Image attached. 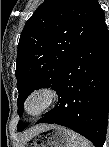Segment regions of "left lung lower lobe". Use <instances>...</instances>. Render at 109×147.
Here are the masks:
<instances>
[{
  "instance_id": "0a47b994",
  "label": "left lung lower lobe",
  "mask_w": 109,
  "mask_h": 147,
  "mask_svg": "<svg viewBox=\"0 0 109 147\" xmlns=\"http://www.w3.org/2000/svg\"><path fill=\"white\" fill-rule=\"evenodd\" d=\"M55 90L58 103L36 124L68 127L96 147H103L109 112V33L105 17L70 56Z\"/></svg>"
}]
</instances>
